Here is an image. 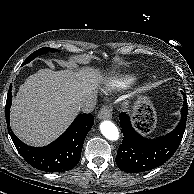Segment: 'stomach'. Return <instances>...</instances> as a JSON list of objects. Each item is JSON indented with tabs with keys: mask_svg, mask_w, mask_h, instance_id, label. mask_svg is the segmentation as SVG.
<instances>
[{
	"mask_svg": "<svg viewBox=\"0 0 194 194\" xmlns=\"http://www.w3.org/2000/svg\"><path fill=\"white\" fill-rule=\"evenodd\" d=\"M133 123L138 131L150 134L157 125L155 108L147 96H139L133 107Z\"/></svg>",
	"mask_w": 194,
	"mask_h": 194,
	"instance_id": "1",
	"label": "stomach"
}]
</instances>
